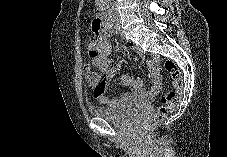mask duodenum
I'll use <instances>...</instances> for the list:
<instances>
[{
    "label": "duodenum",
    "instance_id": "obj_1",
    "mask_svg": "<svg viewBox=\"0 0 227 157\" xmlns=\"http://www.w3.org/2000/svg\"><path fill=\"white\" fill-rule=\"evenodd\" d=\"M108 27V22L106 19V16L104 14L99 15L95 22L94 25L90 26L91 30H106Z\"/></svg>",
    "mask_w": 227,
    "mask_h": 157
}]
</instances>
